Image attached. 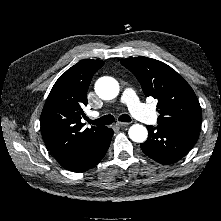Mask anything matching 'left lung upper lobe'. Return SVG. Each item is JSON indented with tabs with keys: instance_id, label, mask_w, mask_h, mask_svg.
I'll return each mask as SVG.
<instances>
[{
	"instance_id": "1",
	"label": "left lung upper lobe",
	"mask_w": 221,
	"mask_h": 221,
	"mask_svg": "<svg viewBox=\"0 0 221 221\" xmlns=\"http://www.w3.org/2000/svg\"><path fill=\"white\" fill-rule=\"evenodd\" d=\"M140 82L146 96L158 99V125L199 131L202 112L190 85L167 64L135 57L121 61Z\"/></svg>"
}]
</instances>
